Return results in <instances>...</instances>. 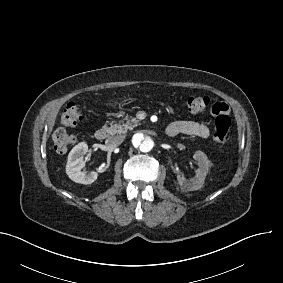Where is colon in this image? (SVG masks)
<instances>
[{
  "label": "colon",
  "mask_w": 283,
  "mask_h": 283,
  "mask_svg": "<svg viewBox=\"0 0 283 283\" xmlns=\"http://www.w3.org/2000/svg\"><path fill=\"white\" fill-rule=\"evenodd\" d=\"M208 98L201 94L192 95L187 99V110L190 114L197 115L203 113L208 105ZM82 120V113L78 106L67 105L60 117V125L76 126ZM231 118L225 114H219L214 120V132L212 141L217 149H222L230 135ZM54 148L58 153H64L74 144V137L71 133L62 128L56 129L52 133Z\"/></svg>",
  "instance_id": "colon-1"
}]
</instances>
